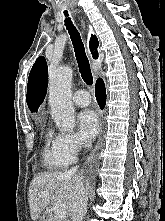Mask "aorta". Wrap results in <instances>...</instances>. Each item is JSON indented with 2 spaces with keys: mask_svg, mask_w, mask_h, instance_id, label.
I'll return each instance as SVG.
<instances>
[{
  "mask_svg": "<svg viewBox=\"0 0 165 221\" xmlns=\"http://www.w3.org/2000/svg\"><path fill=\"white\" fill-rule=\"evenodd\" d=\"M72 76V68L64 66L51 73L49 81L51 116L60 130L69 132L75 126V110L71 101Z\"/></svg>",
  "mask_w": 165,
  "mask_h": 221,
  "instance_id": "1",
  "label": "aorta"
}]
</instances>
